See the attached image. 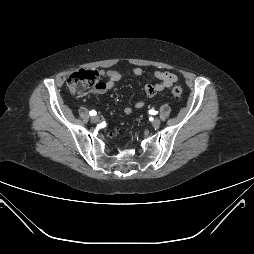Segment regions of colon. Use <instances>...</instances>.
<instances>
[{
    "label": "colon",
    "instance_id": "colon-1",
    "mask_svg": "<svg viewBox=\"0 0 254 254\" xmlns=\"http://www.w3.org/2000/svg\"><path fill=\"white\" fill-rule=\"evenodd\" d=\"M100 85L99 75L92 70H78L71 73L67 79V88L75 96H82L90 89ZM183 90L179 86L171 89V96L174 100L181 98Z\"/></svg>",
    "mask_w": 254,
    "mask_h": 254
}]
</instances>
